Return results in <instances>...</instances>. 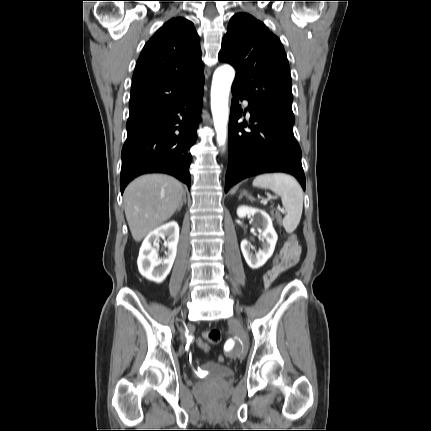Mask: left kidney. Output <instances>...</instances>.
Returning <instances> with one entry per match:
<instances>
[{
  "label": "left kidney",
  "mask_w": 431,
  "mask_h": 431,
  "mask_svg": "<svg viewBox=\"0 0 431 431\" xmlns=\"http://www.w3.org/2000/svg\"><path fill=\"white\" fill-rule=\"evenodd\" d=\"M237 215L239 218L252 216L258 227V232L262 241V249H259L254 255L250 252L248 241L244 239L241 242V251L248 266L252 269H258L272 256L278 239L273 228L272 220L265 211L248 206H240L237 209Z\"/></svg>",
  "instance_id": "obj_1"
}]
</instances>
